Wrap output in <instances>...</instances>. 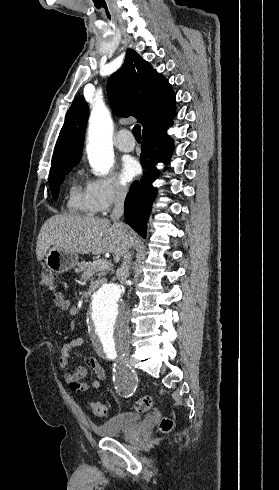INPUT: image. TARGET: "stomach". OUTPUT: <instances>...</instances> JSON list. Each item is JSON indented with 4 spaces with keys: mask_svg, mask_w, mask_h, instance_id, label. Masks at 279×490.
Here are the masks:
<instances>
[{
    "mask_svg": "<svg viewBox=\"0 0 279 490\" xmlns=\"http://www.w3.org/2000/svg\"><path fill=\"white\" fill-rule=\"evenodd\" d=\"M78 254L63 250V248H50L45 256V264L54 274H64L76 266Z\"/></svg>",
    "mask_w": 279,
    "mask_h": 490,
    "instance_id": "1",
    "label": "stomach"
}]
</instances>
